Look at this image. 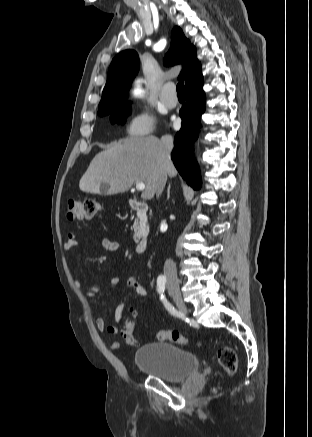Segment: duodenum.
<instances>
[{"mask_svg":"<svg viewBox=\"0 0 312 437\" xmlns=\"http://www.w3.org/2000/svg\"><path fill=\"white\" fill-rule=\"evenodd\" d=\"M131 208L137 212L140 218H143L148 212V205L146 202L139 199L130 200ZM148 240L145 236H142L136 243L135 250L138 254H143L147 250Z\"/></svg>","mask_w":312,"mask_h":437,"instance_id":"410a0bca","label":"duodenum"}]
</instances>
